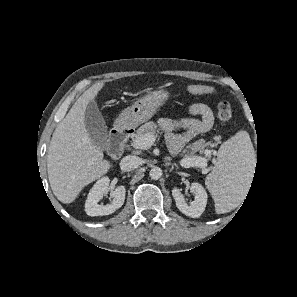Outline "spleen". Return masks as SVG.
<instances>
[{"mask_svg": "<svg viewBox=\"0 0 297 297\" xmlns=\"http://www.w3.org/2000/svg\"><path fill=\"white\" fill-rule=\"evenodd\" d=\"M256 154L247 132L240 131L218 150L217 163L206 178L216 213L229 211L243 196L251 181Z\"/></svg>", "mask_w": 297, "mask_h": 297, "instance_id": "1", "label": "spleen"}]
</instances>
